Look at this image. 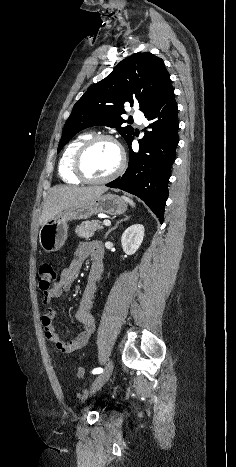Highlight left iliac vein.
I'll return each mask as SVG.
<instances>
[{"mask_svg": "<svg viewBox=\"0 0 236 467\" xmlns=\"http://www.w3.org/2000/svg\"><path fill=\"white\" fill-rule=\"evenodd\" d=\"M113 371V362L112 360H109L104 368V371L97 375L91 385L90 392L86 393V397L89 394H94L96 391H98L109 379Z\"/></svg>", "mask_w": 236, "mask_h": 467, "instance_id": "obj_1", "label": "left iliac vein"}]
</instances>
